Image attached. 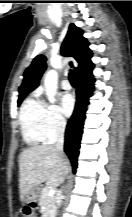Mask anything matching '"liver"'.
Segmentation results:
<instances>
[{"instance_id":"obj_1","label":"liver","mask_w":132,"mask_h":217,"mask_svg":"<svg viewBox=\"0 0 132 217\" xmlns=\"http://www.w3.org/2000/svg\"><path fill=\"white\" fill-rule=\"evenodd\" d=\"M71 167L68 160L53 145H36L25 149L19 157L20 199L35 186L46 182L59 186Z\"/></svg>"}]
</instances>
